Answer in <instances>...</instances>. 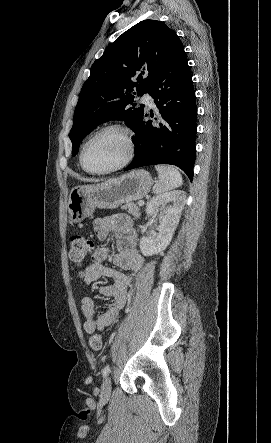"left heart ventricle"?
Returning a JSON list of instances; mask_svg holds the SVG:
<instances>
[{
  "mask_svg": "<svg viewBox=\"0 0 271 443\" xmlns=\"http://www.w3.org/2000/svg\"><path fill=\"white\" fill-rule=\"evenodd\" d=\"M127 142L122 132L108 130L96 136L85 150L86 165L94 170L112 167L123 160Z\"/></svg>",
  "mask_w": 271,
  "mask_h": 443,
  "instance_id": "left-heart-ventricle-1",
  "label": "left heart ventricle"
}]
</instances>
